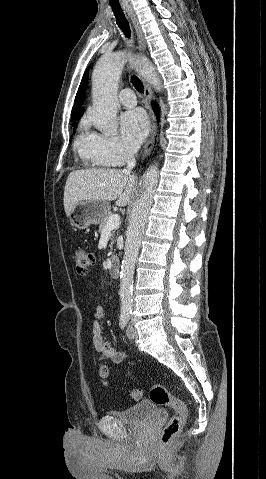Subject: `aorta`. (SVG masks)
I'll return each mask as SVG.
<instances>
[{"instance_id":"762f6f07","label":"aorta","mask_w":266,"mask_h":479,"mask_svg":"<svg viewBox=\"0 0 266 479\" xmlns=\"http://www.w3.org/2000/svg\"><path fill=\"white\" fill-rule=\"evenodd\" d=\"M127 57L120 52L102 56L93 72V106L89 113L92 124L106 134L117 133V89ZM154 183L153 174H147L137 200V213L131 222L125 241L120 272L121 313L130 314L136 259L145 228V210Z\"/></svg>"}]
</instances>
